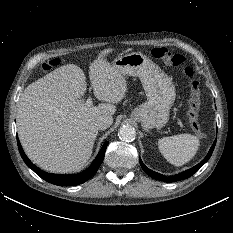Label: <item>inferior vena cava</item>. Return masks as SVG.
<instances>
[{
  "label": "inferior vena cava",
  "mask_w": 233,
  "mask_h": 233,
  "mask_svg": "<svg viewBox=\"0 0 233 233\" xmlns=\"http://www.w3.org/2000/svg\"><path fill=\"white\" fill-rule=\"evenodd\" d=\"M113 122V118L111 116H100L96 121L95 125L98 129L104 130L108 128Z\"/></svg>",
  "instance_id": "602c4592"
}]
</instances>
